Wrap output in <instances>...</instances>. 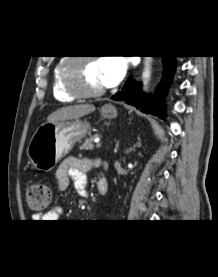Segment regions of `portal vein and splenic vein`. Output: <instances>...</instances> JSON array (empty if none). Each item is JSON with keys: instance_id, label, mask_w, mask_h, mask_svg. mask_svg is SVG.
Listing matches in <instances>:
<instances>
[{"instance_id": "portal-vein-and-splenic-vein-1", "label": "portal vein and splenic vein", "mask_w": 218, "mask_h": 277, "mask_svg": "<svg viewBox=\"0 0 218 277\" xmlns=\"http://www.w3.org/2000/svg\"><path fill=\"white\" fill-rule=\"evenodd\" d=\"M95 142H96V147H97V148H100L101 145H102L101 142H100V140H99V139H96Z\"/></svg>"}]
</instances>
